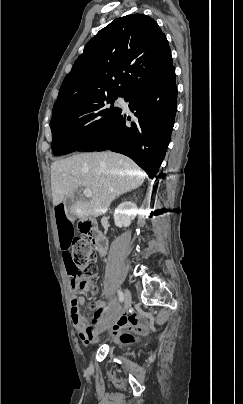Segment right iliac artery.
<instances>
[{
	"label": "right iliac artery",
	"mask_w": 243,
	"mask_h": 404,
	"mask_svg": "<svg viewBox=\"0 0 243 404\" xmlns=\"http://www.w3.org/2000/svg\"><path fill=\"white\" fill-rule=\"evenodd\" d=\"M118 297H119L120 302L124 301V295L120 290L118 291Z\"/></svg>",
	"instance_id": "obj_1"
}]
</instances>
